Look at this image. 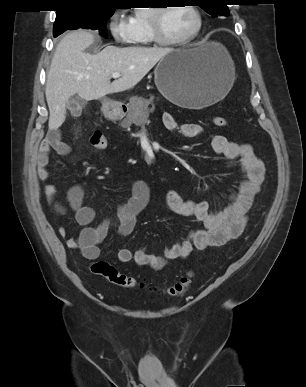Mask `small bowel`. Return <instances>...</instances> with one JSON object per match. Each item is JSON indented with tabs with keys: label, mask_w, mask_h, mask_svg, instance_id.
I'll return each instance as SVG.
<instances>
[{
	"label": "small bowel",
	"mask_w": 306,
	"mask_h": 387,
	"mask_svg": "<svg viewBox=\"0 0 306 387\" xmlns=\"http://www.w3.org/2000/svg\"><path fill=\"white\" fill-rule=\"evenodd\" d=\"M162 121L167 130L176 132L185 138H192L203 132L200 124H179L174 116L167 112L163 114ZM211 147L216 154L240 166L243 179L238 191L231 196L230 203L221 209L211 211L207 201L184 200L177 191H168L165 197L167 207L175 214L192 218L198 227L191 229L186 236L171 247L165 248L160 255L151 254L145 248L120 249L117 258L121 263L134 261L140 267L147 266L160 270L168 261L184 259L194 251L224 245L242 234L247 222V213L264 181V164L256 156L251 145L229 141L222 135H214L211 138ZM51 151L60 155L70 153L69 145L61 139L58 130L49 132L42 141L36 158L37 176L43 182L50 177L48 163ZM44 194L55 212L64 213L63 205L55 199V186L46 185ZM83 196L84 192L80 185L72 186L68 192V202L74 212L75 220L83 229L77 237L67 239V246L70 249L81 250L86 259L93 261L99 258L101 244L112 229L122 237L133 232L137 216L148 203L150 189L145 182H136L130 198L118 203L115 219L110 221L103 218L95 225H93L95 210L83 205ZM58 232L62 237L68 235L63 225L58 227Z\"/></svg>",
	"instance_id": "c3829d8e"
}]
</instances>
